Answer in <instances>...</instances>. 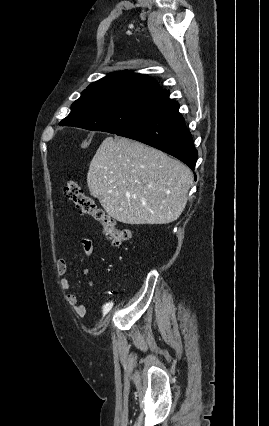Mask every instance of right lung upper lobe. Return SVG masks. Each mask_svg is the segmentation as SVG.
Segmentation results:
<instances>
[{
	"label": "right lung upper lobe",
	"instance_id": "right-lung-upper-lobe-1",
	"mask_svg": "<svg viewBox=\"0 0 269 426\" xmlns=\"http://www.w3.org/2000/svg\"><path fill=\"white\" fill-rule=\"evenodd\" d=\"M120 91H143V92H161V89L155 79L132 72L113 73L92 83L82 92V95H89L101 92H120Z\"/></svg>",
	"mask_w": 269,
	"mask_h": 426
}]
</instances>
